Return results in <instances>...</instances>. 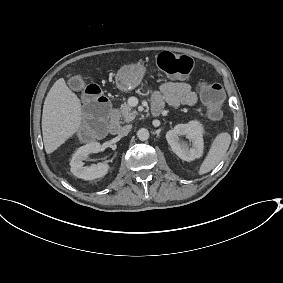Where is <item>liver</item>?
<instances>
[{
	"label": "liver",
	"mask_w": 283,
	"mask_h": 283,
	"mask_svg": "<svg viewBox=\"0 0 283 283\" xmlns=\"http://www.w3.org/2000/svg\"><path fill=\"white\" fill-rule=\"evenodd\" d=\"M72 75L68 74L67 77ZM82 103L66 85L58 79L44 102L42 136L46 154H51L81 129Z\"/></svg>",
	"instance_id": "liver-1"
}]
</instances>
